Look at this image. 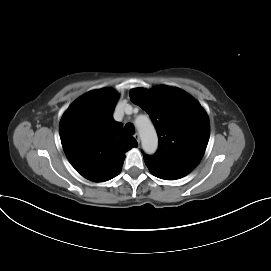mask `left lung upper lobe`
<instances>
[{
    "instance_id": "left-lung-upper-lobe-1",
    "label": "left lung upper lobe",
    "mask_w": 271,
    "mask_h": 271,
    "mask_svg": "<svg viewBox=\"0 0 271 271\" xmlns=\"http://www.w3.org/2000/svg\"><path fill=\"white\" fill-rule=\"evenodd\" d=\"M130 99L150 115L159 137L156 154L143 156L191 172L209 140V119L201 105L185 91L169 86L132 89Z\"/></svg>"
}]
</instances>
